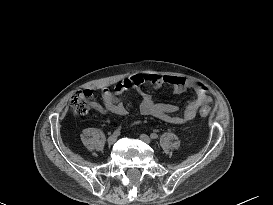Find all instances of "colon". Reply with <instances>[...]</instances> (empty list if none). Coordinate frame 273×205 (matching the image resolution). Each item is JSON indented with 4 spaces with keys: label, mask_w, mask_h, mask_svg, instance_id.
I'll use <instances>...</instances> for the list:
<instances>
[{
    "label": "colon",
    "mask_w": 273,
    "mask_h": 205,
    "mask_svg": "<svg viewBox=\"0 0 273 205\" xmlns=\"http://www.w3.org/2000/svg\"><path fill=\"white\" fill-rule=\"evenodd\" d=\"M94 99L95 96L92 90H80L70 95L69 104L76 114L84 115L94 107ZM199 112L201 116L210 114V110L207 107H201Z\"/></svg>",
    "instance_id": "obj_1"
}]
</instances>
